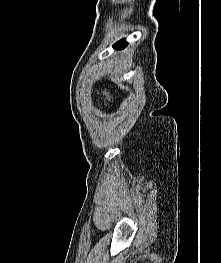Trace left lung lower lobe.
Here are the masks:
<instances>
[{
	"label": "left lung lower lobe",
	"mask_w": 221,
	"mask_h": 263,
	"mask_svg": "<svg viewBox=\"0 0 221 263\" xmlns=\"http://www.w3.org/2000/svg\"><path fill=\"white\" fill-rule=\"evenodd\" d=\"M127 45V43L125 42L124 39L120 40L119 42H117L114 47L116 49H123L125 46Z\"/></svg>",
	"instance_id": "obj_1"
}]
</instances>
